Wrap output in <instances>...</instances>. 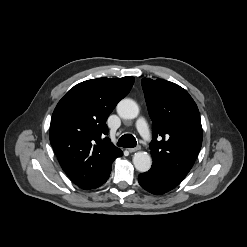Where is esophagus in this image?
<instances>
[{
    "label": "esophagus",
    "instance_id": "esophagus-1",
    "mask_svg": "<svg viewBox=\"0 0 247 247\" xmlns=\"http://www.w3.org/2000/svg\"><path fill=\"white\" fill-rule=\"evenodd\" d=\"M138 150H140V146H137V147H134V148H128V151H129L130 153L136 152V151H138Z\"/></svg>",
    "mask_w": 247,
    "mask_h": 247
}]
</instances>
